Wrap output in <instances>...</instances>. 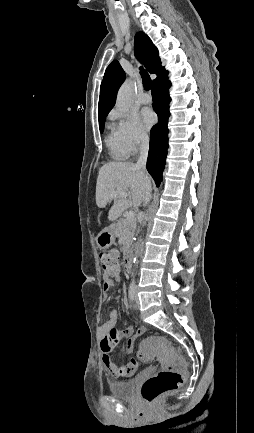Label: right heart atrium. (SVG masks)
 Returning <instances> with one entry per match:
<instances>
[{"label": "right heart atrium", "instance_id": "right-heart-atrium-1", "mask_svg": "<svg viewBox=\"0 0 254 433\" xmlns=\"http://www.w3.org/2000/svg\"><path fill=\"white\" fill-rule=\"evenodd\" d=\"M114 127L127 155L136 154L149 140L148 134L134 113H113Z\"/></svg>", "mask_w": 254, "mask_h": 433}]
</instances>
